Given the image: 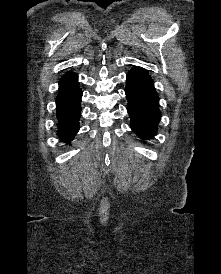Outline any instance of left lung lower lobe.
I'll return each instance as SVG.
<instances>
[{"mask_svg":"<svg viewBox=\"0 0 221 274\" xmlns=\"http://www.w3.org/2000/svg\"><path fill=\"white\" fill-rule=\"evenodd\" d=\"M125 92L131 129L140 138L151 139L161 117L153 80L143 68L136 66L127 74Z\"/></svg>","mask_w":221,"mask_h":274,"instance_id":"0a47b994","label":"left lung lower lobe"}]
</instances>
